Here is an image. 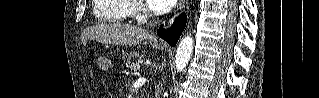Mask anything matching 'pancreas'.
<instances>
[{
	"label": "pancreas",
	"mask_w": 319,
	"mask_h": 98,
	"mask_svg": "<svg viewBox=\"0 0 319 98\" xmlns=\"http://www.w3.org/2000/svg\"><path fill=\"white\" fill-rule=\"evenodd\" d=\"M138 56H139L138 52H125L123 54V58L127 59L128 62H131L133 58H136Z\"/></svg>",
	"instance_id": "cf45deb5"
}]
</instances>
